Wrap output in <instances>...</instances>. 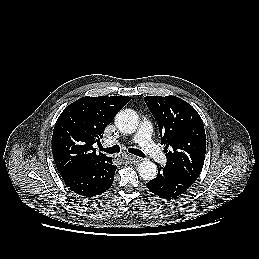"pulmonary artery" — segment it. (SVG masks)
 <instances>
[{"instance_id":"pulmonary-artery-1","label":"pulmonary artery","mask_w":259,"mask_h":259,"mask_svg":"<svg viewBox=\"0 0 259 259\" xmlns=\"http://www.w3.org/2000/svg\"><path fill=\"white\" fill-rule=\"evenodd\" d=\"M151 134L152 124L148 121H145L140 126L139 133L137 135V141L143 148L144 152L147 153L154 161L165 162V155L157 147V145L153 143Z\"/></svg>"}]
</instances>
